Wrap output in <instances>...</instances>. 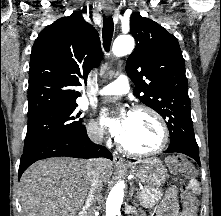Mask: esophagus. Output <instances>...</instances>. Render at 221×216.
<instances>
[{"instance_id":"34e87169","label":"esophagus","mask_w":221,"mask_h":216,"mask_svg":"<svg viewBox=\"0 0 221 216\" xmlns=\"http://www.w3.org/2000/svg\"><path fill=\"white\" fill-rule=\"evenodd\" d=\"M112 13V10H106L105 14L110 15ZM113 162L116 166L122 167L125 165L124 159L118 155L113 156Z\"/></svg>"}]
</instances>
